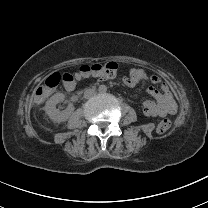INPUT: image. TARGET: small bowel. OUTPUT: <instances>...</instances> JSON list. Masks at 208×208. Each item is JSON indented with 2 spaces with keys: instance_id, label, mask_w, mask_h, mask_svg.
I'll return each mask as SVG.
<instances>
[{
  "instance_id": "obj_1",
  "label": "small bowel",
  "mask_w": 208,
  "mask_h": 208,
  "mask_svg": "<svg viewBox=\"0 0 208 208\" xmlns=\"http://www.w3.org/2000/svg\"><path fill=\"white\" fill-rule=\"evenodd\" d=\"M100 82L106 80L114 81L116 76L111 73L101 74L97 78ZM142 81H150L154 84H159L161 90L149 88L147 93L155 98L154 100H145L141 109L145 116L148 117H165L167 115H173L177 112V104L173 98L171 90L168 84L158 75H147L141 69H131L126 77L123 78V83L128 87H135ZM75 85L65 86L68 91L73 90Z\"/></svg>"
}]
</instances>
